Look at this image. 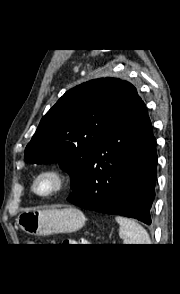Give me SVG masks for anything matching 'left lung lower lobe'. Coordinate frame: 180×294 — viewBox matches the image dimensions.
<instances>
[{"mask_svg": "<svg viewBox=\"0 0 180 294\" xmlns=\"http://www.w3.org/2000/svg\"><path fill=\"white\" fill-rule=\"evenodd\" d=\"M157 159L147 107L138 95L95 151L80 191L67 200L149 225Z\"/></svg>", "mask_w": 180, "mask_h": 294, "instance_id": "left-lung-lower-lobe-1", "label": "left lung lower lobe"}]
</instances>
